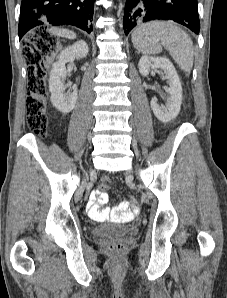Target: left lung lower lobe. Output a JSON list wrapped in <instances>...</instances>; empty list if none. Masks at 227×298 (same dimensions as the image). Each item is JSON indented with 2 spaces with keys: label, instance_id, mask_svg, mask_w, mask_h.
Instances as JSON below:
<instances>
[{
  "label": "left lung lower lobe",
  "instance_id": "obj_1",
  "mask_svg": "<svg viewBox=\"0 0 227 298\" xmlns=\"http://www.w3.org/2000/svg\"><path fill=\"white\" fill-rule=\"evenodd\" d=\"M155 19L173 20L199 34L197 0H127L124 29L128 34L139 23Z\"/></svg>",
  "mask_w": 227,
  "mask_h": 298
}]
</instances>
